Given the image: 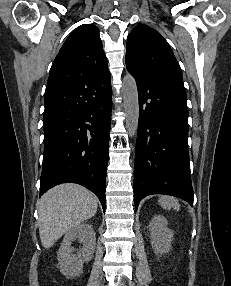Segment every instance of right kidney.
<instances>
[{
	"label": "right kidney",
	"instance_id": "obj_1",
	"mask_svg": "<svg viewBox=\"0 0 231 286\" xmlns=\"http://www.w3.org/2000/svg\"><path fill=\"white\" fill-rule=\"evenodd\" d=\"M76 239H80L83 247L73 254L71 244ZM95 246V232L91 225L80 224L68 231L57 253L60 272L68 278L79 276L83 272L84 262L92 259Z\"/></svg>",
	"mask_w": 231,
	"mask_h": 286
}]
</instances>
